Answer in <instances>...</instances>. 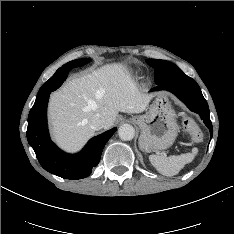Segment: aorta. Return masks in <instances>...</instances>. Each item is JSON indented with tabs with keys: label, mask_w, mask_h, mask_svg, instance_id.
Segmentation results:
<instances>
[{
	"label": "aorta",
	"mask_w": 234,
	"mask_h": 234,
	"mask_svg": "<svg viewBox=\"0 0 234 234\" xmlns=\"http://www.w3.org/2000/svg\"><path fill=\"white\" fill-rule=\"evenodd\" d=\"M118 135L121 140L130 141L134 138L135 130L130 124H123L118 129Z\"/></svg>",
	"instance_id": "aorta-1"
}]
</instances>
